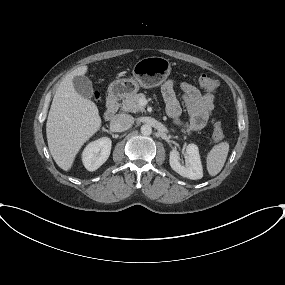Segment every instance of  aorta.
Instances as JSON below:
<instances>
[{
	"mask_svg": "<svg viewBox=\"0 0 285 285\" xmlns=\"http://www.w3.org/2000/svg\"><path fill=\"white\" fill-rule=\"evenodd\" d=\"M141 133L144 136H149L152 133V128L148 124H144L141 126Z\"/></svg>",
	"mask_w": 285,
	"mask_h": 285,
	"instance_id": "obj_1",
	"label": "aorta"
}]
</instances>
